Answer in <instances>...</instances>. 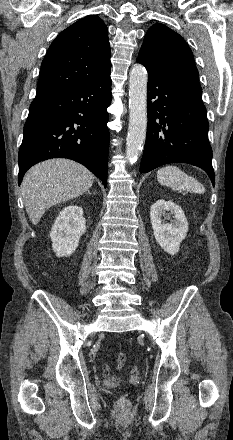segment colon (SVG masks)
<instances>
[{
	"mask_svg": "<svg viewBox=\"0 0 233 440\" xmlns=\"http://www.w3.org/2000/svg\"><path fill=\"white\" fill-rule=\"evenodd\" d=\"M127 362V355L124 352L116 353V366L118 368H123ZM130 408V402L125 397H120L116 402V409L118 412H127Z\"/></svg>",
	"mask_w": 233,
	"mask_h": 440,
	"instance_id": "1",
	"label": "colon"
}]
</instances>
